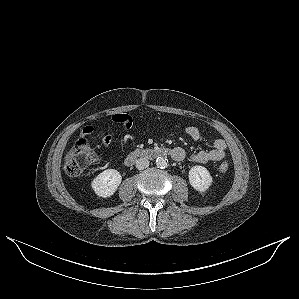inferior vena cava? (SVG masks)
<instances>
[{"label":"inferior vena cava","instance_id":"602c4592","mask_svg":"<svg viewBox=\"0 0 299 299\" xmlns=\"http://www.w3.org/2000/svg\"><path fill=\"white\" fill-rule=\"evenodd\" d=\"M149 166V161L147 158H139L137 161H136V168L138 170H144L146 169L147 167Z\"/></svg>","mask_w":299,"mask_h":299}]
</instances>
